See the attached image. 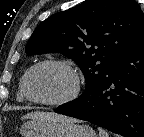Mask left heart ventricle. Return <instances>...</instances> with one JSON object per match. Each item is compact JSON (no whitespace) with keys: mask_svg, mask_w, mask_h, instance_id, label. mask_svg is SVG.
<instances>
[{"mask_svg":"<svg viewBox=\"0 0 144 137\" xmlns=\"http://www.w3.org/2000/svg\"><path fill=\"white\" fill-rule=\"evenodd\" d=\"M72 86L73 81L68 72L57 66L46 65L31 74L28 90L34 98L57 100L65 97Z\"/></svg>","mask_w":144,"mask_h":137,"instance_id":"obj_1","label":"left heart ventricle"}]
</instances>
